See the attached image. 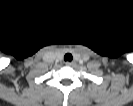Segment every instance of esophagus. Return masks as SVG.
<instances>
[{
    "label": "esophagus",
    "instance_id": "esophagus-1",
    "mask_svg": "<svg viewBox=\"0 0 133 106\" xmlns=\"http://www.w3.org/2000/svg\"><path fill=\"white\" fill-rule=\"evenodd\" d=\"M65 64H66L67 66H73V65H74V62H69V61H67Z\"/></svg>",
    "mask_w": 133,
    "mask_h": 106
}]
</instances>
